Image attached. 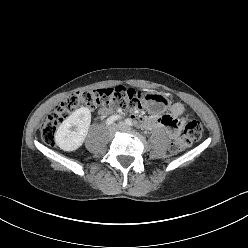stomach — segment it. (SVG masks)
<instances>
[{
  "label": "stomach",
  "instance_id": "obj_1",
  "mask_svg": "<svg viewBox=\"0 0 248 248\" xmlns=\"http://www.w3.org/2000/svg\"><path fill=\"white\" fill-rule=\"evenodd\" d=\"M143 104L147 111L156 115L164 113L168 106L166 98L156 92L147 94Z\"/></svg>",
  "mask_w": 248,
  "mask_h": 248
}]
</instances>
